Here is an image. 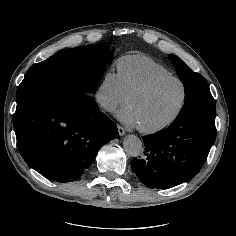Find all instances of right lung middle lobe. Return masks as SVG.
<instances>
[{
    "label": "right lung middle lobe",
    "instance_id": "1",
    "mask_svg": "<svg viewBox=\"0 0 236 236\" xmlns=\"http://www.w3.org/2000/svg\"><path fill=\"white\" fill-rule=\"evenodd\" d=\"M113 56L107 44L66 49L32 65L18 87L17 106L28 100L69 90L91 94Z\"/></svg>",
    "mask_w": 236,
    "mask_h": 236
}]
</instances>
